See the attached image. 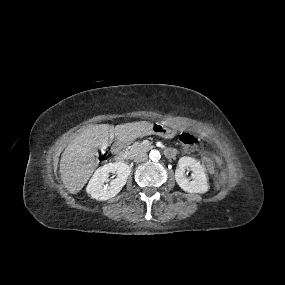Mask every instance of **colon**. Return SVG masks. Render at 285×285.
<instances>
[{
    "label": "colon",
    "instance_id": "obj_1",
    "mask_svg": "<svg viewBox=\"0 0 285 285\" xmlns=\"http://www.w3.org/2000/svg\"><path fill=\"white\" fill-rule=\"evenodd\" d=\"M179 140L184 144L187 150H193L199 146L200 141L192 133L183 131L179 135ZM225 183V176L221 173L217 174L215 177L216 187H221Z\"/></svg>",
    "mask_w": 285,
    "mask_h": 285
}]
</instances>
